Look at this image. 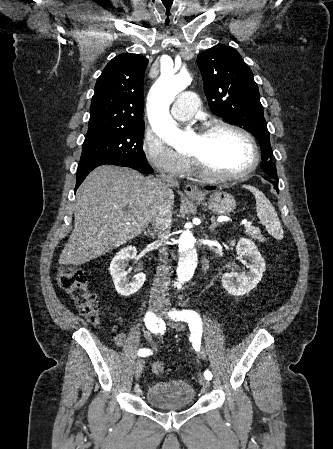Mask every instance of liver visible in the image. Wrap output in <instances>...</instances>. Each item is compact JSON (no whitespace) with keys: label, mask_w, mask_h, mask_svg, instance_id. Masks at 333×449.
<instances>
[{"label":"liver","mask_w":333,"mask_h":449,"mask_svg":"<svg viewBox=\"0 0 333 449\" xmlns=\"http://www.w3.org/2000/svg\"><path fill=\"white\" fill-rule=\"evenodd\" d=\"M162 187L132 169L97 167L76 192L74 230L59 262L83 264L141 234L161 195L174 206L173 191Z\"/></svg>","instance_id":"1"}]
</instances>
